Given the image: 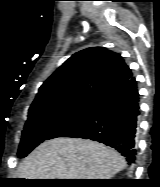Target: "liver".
<instances>
[{
	"label": "liver",
	"instance_id": "obj_1",
	"mask_svg": "<svg viewBox=\"0 0 160 187\" xmlns=\"http://www.w3.org/2000/svg\"><path fill=\"white\" fill-rule=\"evenodd\" d=\"M125 165V159L104 144L58 137L33 150L20 164L18 176L26 179H111Z\"/></svg>",
	"mask_w": 160,
	"mask_h": 187
}]
</instances>
